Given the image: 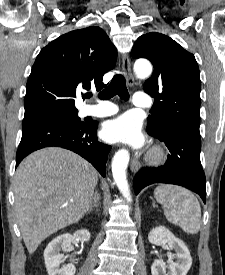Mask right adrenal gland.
Returning a JSON list of instances; mask_svg holds the SVG:
<instances>
[{
  "instance_id": "right-adrenal-gland-1",
  "label": "right adrenal gland",
  "mask_w": 225,
  "mask_h": 275,
  "mask_svg": "<svg viewBox=\"0 0 225 275\" xmlns=\"http://www.w3.org/2000/svg\"><path fill=\"white\" fill-rule=\"evenodd\" d=\"M100 199H101V197L98 194V192L96 191L95 194H94L93 203L90 206L88 212L92 211L93 208H97L100 205Z\"/></svg>"
}]
</instances>
